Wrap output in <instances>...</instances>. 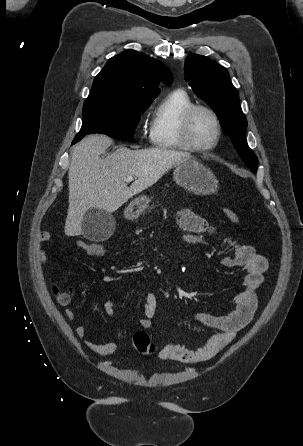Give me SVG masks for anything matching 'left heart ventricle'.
<instances>
[{"mask_svg": "<svg viewBox=\"0 0 303 446\" xmlns=\"http://www.w3.org/2000/svg\"><path fill=\"white\" fill-rule=\"evenodd\" d=\"M190 137L198 146L212 144L216 137V128L213 119L205 111L195 112L190 123Z\"/></svg>", "mask_w": 303, "mask_h": 446, "instance_id": "b2bd125f", "label": "left heart ventricle"}]
</instances>
